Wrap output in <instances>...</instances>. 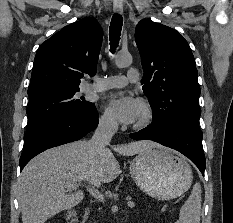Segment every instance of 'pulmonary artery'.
Listing matches in <instances>:
<instances>
[{"instance_id": "e3ab8cb5", "label": "pulmonary artery", "mask_w": 233, "mask_h": 223, "mask_svg": "<svg viewBox=\"0 0 233 223\" xmlns=\"http://www.w3.org/2000/svg\"><path fill=\"white\" fill-rule=\"evenodd\" d=\"M139 79V73L136 69H130L127 76H112L104 79H98L97 84L93 85L94 89L105 90L115 87H123L127 83L136 82Z\"/></svg>"}]
</instances>
